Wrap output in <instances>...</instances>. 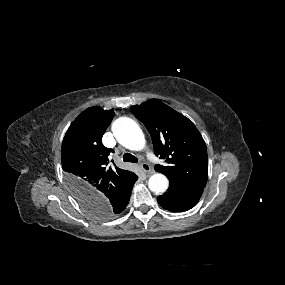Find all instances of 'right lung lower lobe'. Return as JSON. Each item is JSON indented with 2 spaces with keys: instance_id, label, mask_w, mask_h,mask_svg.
Masks as SVG:
<instances>
[{
  "instance_id": "98d812e1",
  "label": "right lung lower lobe",
  "mask_w": 285,
  "mask_h": 285,
  "mask_svg": "<svg viewBox=\"0 0 285 285\" xmlns=\"http://www.w3.org/2000/svg\"><path fill=\"white\" fill-rule=\"evenodd\" d=\"M136 177L122 192L117 195L110 197L109 199H99L95 202H92L91 206L98 208H106L113 215L120 214L126 208L133 188L134 183L137 181Z\"/></svg>"
}]
</instances>
